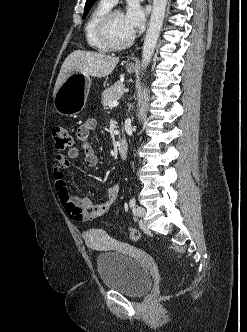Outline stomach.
I'll return each mask as SVG.
<instances>
[{
    "label": "stomach",
    "instance_id": "stomach-1",
    "mask_svg": "<svg viewBox=\"0 0 247 332\" xmlns=\"http://www.w3.org/2000/svg\"><path fill=\"white\" fill-rule=\"evenodd\" d=\"M129 73L135 67H127ZM91 87V78L83 72H73L61 84L54 96V108L63 115L73 117L84 108Z\"/></svg>",
    "mask_w": 247,
    "mask_h": 332
}]
</instances>
